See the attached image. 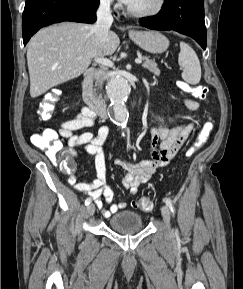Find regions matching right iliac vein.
I'll return each mask as SVG.
<instances>
[{
    "mask_svg": "<svg viewBox=\"0 0 243 289\" xmlns=\"http://www.w3.org/2000/svg\"><path fill=\"white\" fill-rule=\"evenodd\" d=\"M94 212H95V206H94V204H89V205L87 206V214H88L89 216H92V215L94 214Z\"/></svg>",
    "mask_w": 243,
    "mask_h": 289,
    "instance_id": "obj_1",
    "label": "right iliac vein"
}]
</instances>
